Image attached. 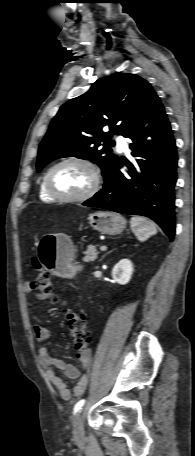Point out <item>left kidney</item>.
<instances>
[{
    "mask_svg": "<svg viewBox=\"0 0 195 456\" xmlns=\"http://www.w3.org/2000/svg\"><path fill=\"white\" fill-rule=\"evenodd\" d=\"M133 274V264L129 259L120 260L112 269V278L120 285L127 284Z\"/></svg>",
    "mask_w": 195,
    "mask_h": 456,
    "instance_id": "5707ae66",
    "label": "left kidney"
}]
</instances>
